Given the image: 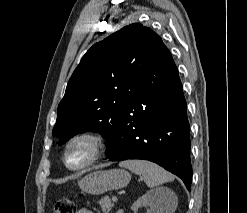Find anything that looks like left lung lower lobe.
Segmentation results:
<instances>
[{"label":"left lung lower lobe","instance_id":"1","mask_svg":"<svg viewBox=\"0 0 247 213\" xmlns=\"http://www.w3.org/2000/svg\"><path fill=\"white\" fill-rule=\"evenodd\" d=\"M189 134L182 84L169 53L146 72L139 90L127 101L107 158L155 162L180 177L190 191Z\"/></svg>","mask_w":247,"mask_h":213}]
</instances>
